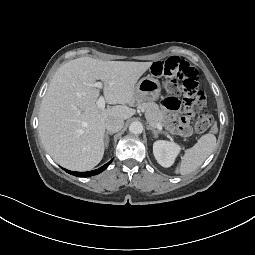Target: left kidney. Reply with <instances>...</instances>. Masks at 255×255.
Masks as SVG:
<instances>
[{"mask_svg": "<svg viewBox=\"0 0 255 255\" xmlns=\"http://www.w3.org/2000/svg\"><path fill=\"white\" fill-rule=\"evenodd\" d=\"M181 150L174 142L158 140L153 144V153L157 162L163 167H170Z\"/></svg>", "mask_w": 255, "mask_h": 255, "instance_id": "1", "label": "left kidney"}]
</instances>
